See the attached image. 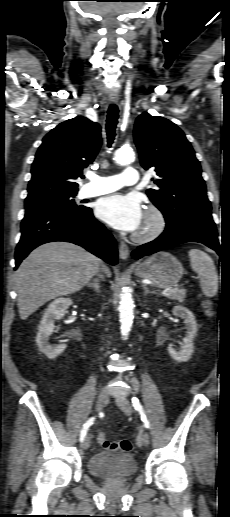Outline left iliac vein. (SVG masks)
I'll return each mask as SVG.
<instances>
[{"label": "left iliac vein", "instance_id": "left-iliac-vein-1", "mask_svg": "<svg viewBox=\"0 0 230 517\" xmlns=\"http://www.w3.org/2000/svg\"><path fill=\"white\" fill-rule=\"evenodd\" d=\"M115 402H116L117 406L126 415H131V413L133 412V407L126 397H124V396L117 397L115 399ZM149 442H150L149 434L146 431L142 432L138 438V444L140 446H148Z\"/></svg>", "mask_w": 230, "mask_h": 517}]
</instances>
